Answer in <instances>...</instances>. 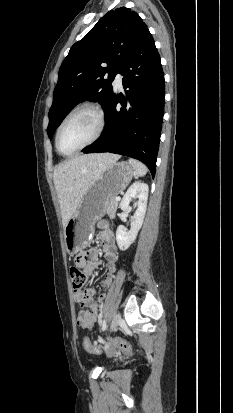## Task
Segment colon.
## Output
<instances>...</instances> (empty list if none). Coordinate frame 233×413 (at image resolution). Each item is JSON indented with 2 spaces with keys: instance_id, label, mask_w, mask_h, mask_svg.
<instances>
[{
  "instance_id": "colon-1",
  "label": "colon",
  "mask_w": 233,
  "mask_h": 413,
  "mask_svg": "<svg viewBox=\"0 0 233 413\" xmlns=\"http://www.w3.org/2000/svg\"><path fill=\"white\" fill-rule=\"evenodd\" d=\"M70 276H71V282H72V287L74 291L75 292L81 291V289L84 287L86 280H87L86 274L82 270H80L77 266H73L70 268ZM113 345L117 349H119L120 351L126 354L131 353L130 345L124 340H115L113 342ZM83 347L89 353L99 352V347L96 344H93L90 341V339L87 337L83 339Z\"/></svg>"
}]
</instances>
